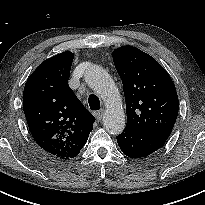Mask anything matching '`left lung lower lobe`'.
Wrapping results in <instances>:
<instances>
[{"instance_id": "1", "label": "left lung lower lobe", "mask_w": 205, "mask_h": 205, "mask_svg": "<svg viewBox=\"0 0 205 205\" xmlns=\"http://www.w3.org/2000/svg\"><path fill=\"white\" fill-rule=\"evenodd\" d=\"M116 138L122 152L130 158L146 157L160 149L166 142L161 138L126 127Z\"/></svg>"}]
</instances>
